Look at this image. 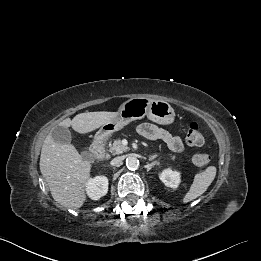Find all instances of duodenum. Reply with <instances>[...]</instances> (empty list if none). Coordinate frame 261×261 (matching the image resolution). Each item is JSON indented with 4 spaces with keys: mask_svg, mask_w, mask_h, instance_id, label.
Masks as SVG:
<instances>
[{
    "mask_svg": "<svg viewBox=\"0 0 261 261\" xmlns=\"http://www.w3.org/2000/svg\"><path fill=\"white\" fill-rule=\"evenodd\" d=\"M90 152L94 158L101 159L105 155V141L103 139L95 140L91 145Z\"/></svg>",
    "mask_w": 261,
    "mask_h": 261,
    "instance_id": "410a0bca",
    "label": "duodenum"
}]
</instances>
